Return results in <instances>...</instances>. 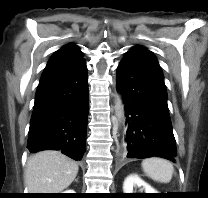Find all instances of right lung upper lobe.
<instances>
[{
  "mask_svg": "<svg viewBox=\"0 0 208 198\" xmlns=\"http://www.w3.org/2000/svg\"><path fill=\"white\" fill-rule=\"evenodd\" d=\"M82 52L73 44L63 46L50 58L40 82L64 75L84 63Z\"/></svg>",
  "mask_w": 208,
  "mask_h": 198,
  "instance_id": "cb5924a9",
  "label": "right lung upper lobe"
}]
</instances>
